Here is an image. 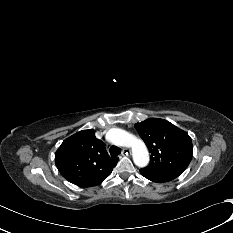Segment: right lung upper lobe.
Returning a JSON list of instances; mask_svg holds the SVG:
<instances>
[{
    "label": "right lung upper lobe",
    "instance_id": "right-lung-upper-lobe-1",
    "mask_svg": "<svg viewBox=\"0 0 233 233\" xmlns=\"http://www.w3.org/2000/svg\"><path fill=\"white\" fill-rule=\"evenodd\" d=\"M118 160V157L108 155L93 129L79 131L65 139L55 153V163L61 175L80 187L101 184Z\"/></svg>",
    "mask_w": 233,
    "mask_h": 233
}]
</instances>
